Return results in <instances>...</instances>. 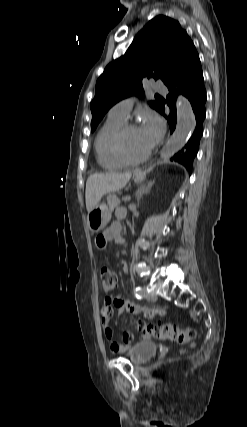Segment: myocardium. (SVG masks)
Segmentation results:
<instances>
[{
	"instance_id": "f54148a6",
	"label": "myocardium",
	"mask_w": 247,
	"mask_h": 427,
	"mask_svg": "<svg viewBox=\"0 0 247 427\" xmlns=\"http://www.w3.org/2000/svg\"><path fill=\"white\" fill-rule=\"evenodd\" d=\"M137 128V126L133 123H124L123 126L119 129L118 133L114 139V151L116 156L126 165L139 164L146 161L152 154V148H150L147 152L139 157H131L125 147V139L127 133Z\"/></svg>"
}]
</instances>
